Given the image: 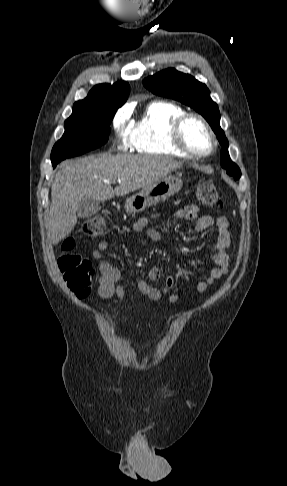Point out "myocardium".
<instances>
[{
    "mask_svg": "<svg viewBox=\"0 0 287 486\" xmlns=\"http://www.w3.org/2000/svg\"><path fill=\"white\" fill-rule=\"evenodd\" d=\"M190 120H197L203 128L206 130L207 134L211 139V147L206 152H196L190 149L183 137V130L186 123ZM171 141L172 144L184 155L191 157V158H205L210 156L217 148L218 141L216 138L215 133L213 132L211 126L207 122V120L198 113H184L179 118L175 120L171 128Z\"/></svg>",
    "mask_w": 287,
    "mask_h": 486,
    "instance_id": "obj_1",
    "label": "myocardium"
}]
</instances>
